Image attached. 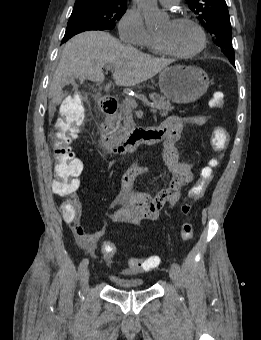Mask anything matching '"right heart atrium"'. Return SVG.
Listing matches in <instances>:
<instances>
[{
  "instance_id": "obj_1",
  "label": "right heart atrium",
  "mask_w": 261,
  "mask_h": 340,
  "mask_svg": "<svg viewBox=\"0 0 261 340\" xmlns=\"http://www.w3.org/2000/svg\"><path fill=\"white\" fill-rule=\"evenodd\" d=\"M119 36L122 41L143 47L152 34L145 26L142 14L136 8H129L118 23Z\"/></svg>"
}]
</instances>
